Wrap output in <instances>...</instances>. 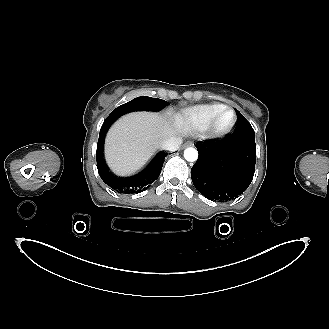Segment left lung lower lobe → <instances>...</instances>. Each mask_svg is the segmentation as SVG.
I'll list each match as a JSON object with an SVG mask.
<instances>
[{
    "mask_svg": "<svg viewBox=\"0 0 329 329\" xmlns=\"http://www.w3.org/2000/svg\"><path fill=\"white\" fill-rule=\"evenodd\" d=\"M199 157L191 169L195 188L213 201L228 202L250 185L256 163L254 131L233 132L222 141L198 143Z\"/></svg>",
    "mask_w": 329,
    "mask_h": 329,
    "instance_id": "0a47b994",
    "label": "left lung lower lobe"
}]
</instances>
